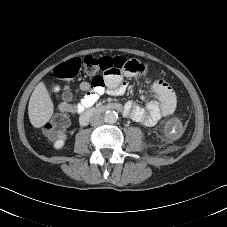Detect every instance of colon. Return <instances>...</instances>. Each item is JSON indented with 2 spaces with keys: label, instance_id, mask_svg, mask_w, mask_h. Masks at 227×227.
Returning a JSON list of instances; mask_svg holds the SVG:
<instances>
[{
  "label": "colon",
  "instance_id": "5ec220e1",
  "mask_svg": "<svg viewBox=\"0 0 227 227\" xmlns=\"http://www.w3.org/2000/svg\"><path fill=\"white\" fill-rule=\"evenodd\" d=\"M82 67H84L88 73L94 76L92 81L94 86L103 85L102 75L115 76L126 72L142 74L147 70L146 65L143 63L135 59H127L122 56L98 57L87 55L82 59L73 58L64 64L57 66L52 72L53 76L61 83L59 92L62 97L69 95L70 89L67 85V82L77 76ZM67 122L68 113L62 112L53 123L46 125L45 133L49 137L55 138L57 137L56 129L64 127Z\"/></svg>",
  "mask_w": 227,
  "mask_h": 227
}]
</instances>
